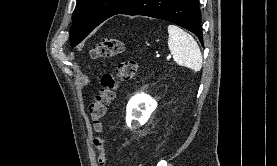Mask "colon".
<instances>
[{
  "instance_id": "colon-1",
  "label": "colon",
  "mask_w": 277,
  "mask_h": 166,
  "mask_svg": "<svg viewBox=\"0 0 277 166\" xmlns=\"http://www.w3.org/2000/svg\"><path fill=\"white\" fill-rule=\"evenodd\" d=\"M125 50L124 43L115 37H106L100 40L90 51L92 59L115 57ZM137 72V62L134 59L121 61L113 73H107L102 77L100 91L94 97L89 106V112L93 130L96 135L93 138V145L98 152V165L106 164L104 152L105 141L100 133L103 130V119L109 105L116 96L121 83L131 80Z\"/></svg>"
}]
</instances>
